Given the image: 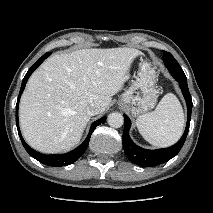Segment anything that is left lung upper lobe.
Here are the masks:
<instances>
[{"mask_svg": "<svg viewBox=\"0 0 213 213\" xmlns=\"http://www.w3.org/2000/svg\"><path fill=\"white\" fill-rule=\"evenodd\" d=\"M163 61H164L165 66L167 67V69L171 73V75L176 80L187 81L185 73L183 72V70L179 66L178 62L174 59V57L170 53L164 51Z\"/></svg>", "mask_w": 213, "mask_h": 213, "instance_id": "left-lung-upper-lobe-1", "label": "left lung upper lobe"}]
</instances>
